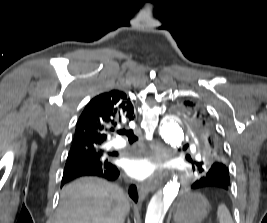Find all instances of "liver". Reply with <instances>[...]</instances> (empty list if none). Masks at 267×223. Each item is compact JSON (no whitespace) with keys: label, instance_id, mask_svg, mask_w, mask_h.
<instances>
[{"label":"liver","instance_id":"6515ba94","mask_svg":"<svg viewBox=\"0 0 267 223\" xmlns=\"http://www.w3.org/2000/svg\"><path fill=\"white\" fill-rule=\"evenodd\" d=\"M130 204L117 185L81 178L63 187L55 223H124Z\"/></svg>","mask_w":267,"mask_h":223}]
</instances>
